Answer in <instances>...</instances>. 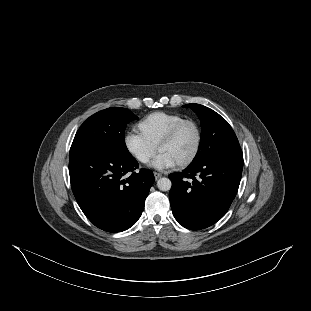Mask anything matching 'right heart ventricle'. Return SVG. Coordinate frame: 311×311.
I'll use <instances>...</instances> for the list:
<instances>
[{
	"mask_svg": "<svg viewBox=\"0 0 311 311\" xmlns=\"http://www.w3.org/2000/svg\"><path fill=\"white\" fill-rule=\"evenodd\" d=\"M182 118L185 116L181 114L153 112L139 120L136 127L150 145L157 147L163 136Z\"/></svg>",
	"mask_w": 311,
	"mask_h": 311,
	"instance_id": "obj_1",
	"label": "right heart ventricle"
}]
</instances>
